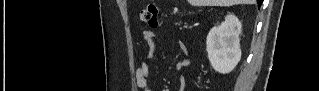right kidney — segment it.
Segmentation results:
<instances>
[{"label": "right kidney", "mask_w": 319, "mask_h": 91, "mask_svg": "<svg viewBox=\"0 0 319 91\" xmlns=\"http://www.w3.org/2000/svg\"><path fill=\"white\" fill-rule=\"evenodd\" d=\"M240 32L241 23L233 14L227 15L220 26L210 30L206 48L209 61L215 71L229 73L240 61Z\"/></svg>", "instance_id": "ca27d5eb"}]
</instances>
